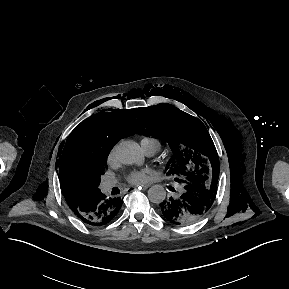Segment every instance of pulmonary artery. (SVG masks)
Listing matches in <instances>:
<instances>
[{"mask_svg":"<svg viewBox=\"0 0 289 289\" xmlns=\"http://www.w3.org/2000/svg\"><path fill=\"white\" fill-rule=\"evenodd\" d=\"M143 150L148 156H153L159 149L158 141L147 142L142 145ZM114 182L112 180H106L103 184L104 189H109Z\"/></svg>","mask_w":289,"mask_h":289,"instance_id":"obj_1","label":"pulmonary artery"}]
</instances>
